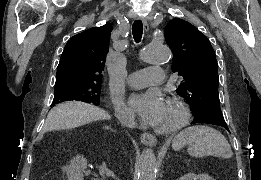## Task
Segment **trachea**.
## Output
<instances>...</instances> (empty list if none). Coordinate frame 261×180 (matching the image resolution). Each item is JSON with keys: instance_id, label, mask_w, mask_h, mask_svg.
Listing matches in <instances>:
<instances>
[{"instance_id": "obj_1", "label": "trachea", "mask_w": 261, "mask_h": 180, "mask_svg": "<svg viewBox=\"0 0 261 180\" xmlns=\"http://www.w3.org/2000/svg\"><path fill=\"white\" fill-rule=\"evenodd\" d=\"M132 33L135 39V42H140L143 34V24L141 20H135L132 25Z\"/></svg>"}]
</instances>
